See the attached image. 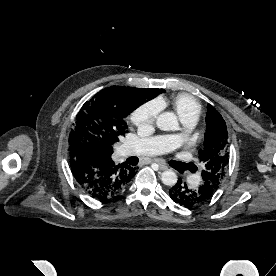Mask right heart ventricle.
<instances>
[{
  "label": "right heart ventricle",
  "instance_id": "1",
  "mask_svg": "<svg viewBox=\"0 0 276 276\" xmlns=\"http://www.w3.org/2000/svg\"><path fill=\"white\" fill-rule=\"evenodd\" d=\"M171 104L179 117L183 119H197L201 112L200 103L188 95H178L172 99Z\"/></svg>",
  "mask_w": 276,
  "mask_h": 276
}]
</instances>
